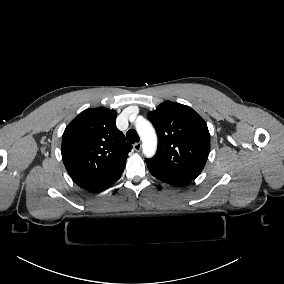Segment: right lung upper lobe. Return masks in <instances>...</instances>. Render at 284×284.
<instances>
[{
    "mask_svg": "<svg viewBox=\"0 0 284 284\" xmlns=\"http://www.w3.org/2000/svg\"><path fill=\"white\" fill-rule=\"evenodd\" d=\"M116 112L105 107L87 109L73 119L62 137L67 172L82 189L99 192L121 176L132 146L116 128Z\"/></svg>",
    "mask_w": 284,
    "mask_h": 284,
    "instance_id": "right-lung-upper-lobe-1",
    "label": "right lung upper lobe"
}]
</instances>
